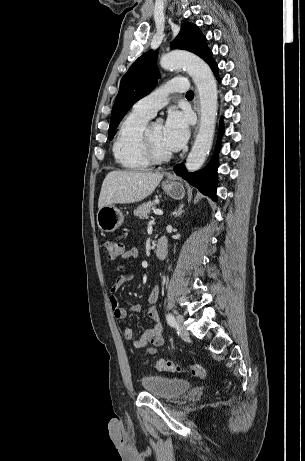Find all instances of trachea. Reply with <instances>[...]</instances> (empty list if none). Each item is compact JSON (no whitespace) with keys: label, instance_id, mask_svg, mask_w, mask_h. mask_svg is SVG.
Returning a JSON list of instances; mask_svg holds the SVG:
<instances>
[{"label":"trachea","instance_id":"1","mask_svg":"<svg viewBox=\"0 0 305 461\" xmlns=\"http://www.w3.org/2000/svg\"><path fill=\"white\" fill-rule=\"evenodd\" d=\"M186 97H194V92L191 91V90L188 91V92L186 93Z\"/></svg>","mask_w":305,"mask_h":461}]
</instances>
